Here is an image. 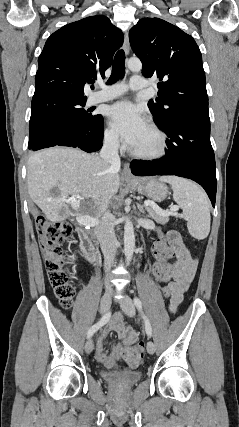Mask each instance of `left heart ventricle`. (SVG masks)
Returning a JSON list of instances; mask_svg holds the SVG:
<instances>
[{
	"label": "left heart ventricle",
	"instance_id": "1",
	"mask_svg": "<svg viewBox=\"0 0 239 427\" xmlns=\"http://www.w3.org/2000/svg\"><path fill=\"white\" fill-rule=\"evenodd\" d=\"M157 146L158 137L147 125L131 147L137 151L151 152L155 150Z\"/></svg>",
	"mask_w": 239,
	"mask_h": 427
}]
</instances>
